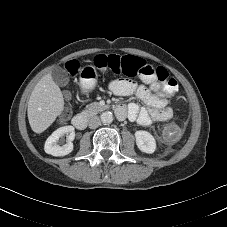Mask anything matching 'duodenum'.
Listing matches in <instances>:
<instances>
[{
  "mask_svg": "<svg viewBox=\"0 0 227 227\" xmlns=\"http://www.w3.org/2000/svg\"><path fill=\"white\" fill-rule=\"evenodd\" d=\"M79 89L83 93L91 91L92 87L84 80L79 81ZM118 116L125 115V109L123 107H118L116 110ZM72 124L78 130H85L88 125V119L85 115H76L72 119Z\"/></svg>",
  "mask_w": 227,
  "mask_h": 227,
  "instance_id": "1",
  "label": "duodenum"
}]
</instances>
